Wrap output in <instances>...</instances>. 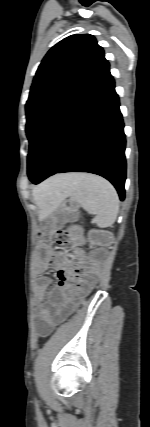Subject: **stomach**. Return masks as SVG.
Segmentation results:
<instances>
[{
  "label": "stomach",
  "instance_id": "stomach-1",
  "mask_svg": "<svg viewBox=\"0 0 150 427\" xmlns=\"http://www.w3.org/2000/svg\"><path fill=\"white\" fill-rule=\"evenodd\" d=\"M75 202L71 200L70 202H66L64 199L58 201V206L61 210H70L74 208Z\"/></svg>",
  "mask_w": 150,
  "mask_h": 427
}]
</instances>
